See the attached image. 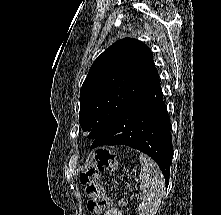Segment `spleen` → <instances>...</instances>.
I'll return each instance as SVG.
<instances>
[{
	"label": "spleen",
	"mask_w": 221,
	"mask_h": 215,
	"mask_svg": "<svg viewBox=\"0 0 221 215\" xmlns=\"http://www.w3.org/2000/svg\"><path fill=\"white\" fill-rule=\"evenodd\" d=\"M141 202L137 208L139 215H156L165 192L164 177L157 164L147 155L140 154Z\"/></svg>",
	"instance_id": "1"
}]
</instances>
